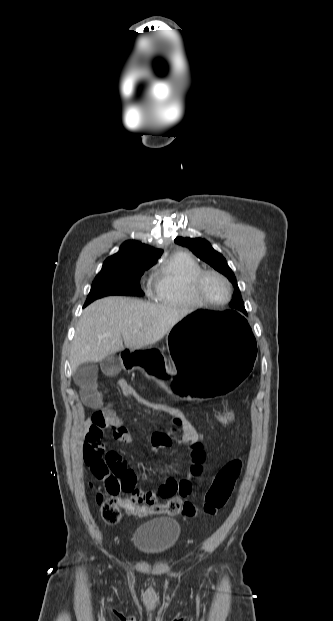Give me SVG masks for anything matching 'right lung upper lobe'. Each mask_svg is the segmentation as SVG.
Segmentation results:
<instances>
[{
	"label": "right lung upper lobe",
	"instance_id": "cb5924a9",
	"mask_svg": "<svg viewBox=\"0 0 333 621\" xmlns=\"http://www.w3.org/2000/svg\"><path fill=\"white\" fill-rule=\"evenodd\" d=\"M162 249H156L138 241L131 240L124 242L119 252L108 257L104 263H140L154 265L161 257Z\"/></svg>",
	"mask_w": 333,
	"mask_h": 621
}]
</instances>
